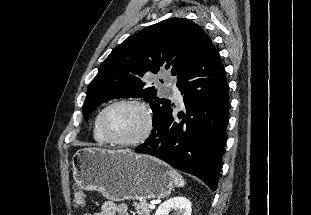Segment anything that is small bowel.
Instances as JSON below:
<instances>
[{
  "label": "small bowel",
  "instance_id": "obj_1",
  "mask_svg": "<svg viewBox=\"0 0 311 215\" xmlns=\"http://www.w3.org/2000/svg\"><path fill=\"white\" fill-rule=\"evenodd\" d=\"M84 215H130L128 207L125 204H115L112 201H106L102 204L100 211L86 213Z\"/></svg>",
  "mask_w": 311,
  "mask_h": 215
}]
</instances>
